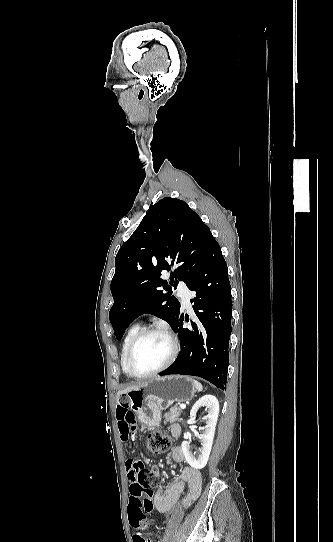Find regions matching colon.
I'll return each mask as SVG.
<instances>
[{"instance_id": "5ec220e1", "label": "colon", "mask_w": 333, "mask_h": 542, "mask_svg": "<svg viewBox=\"0 0 333 542\" xmlns=\"http://www.w3.org/2000/svg\"><path fill=\"white\" fill-rule=\"evenodd\" d=\"M171 445L172 437L170 435L156 431L148 436L146 448L149 453L158 455L170 449ZM125 464L128 468L127 479L136 481V483L127 484V493L131 494L132 500L138 503V505L128 507V517L133 525H147L150 522L149 516L153 513L150 489L160 485V477L154 471L145 469L144 463L135 458H128ZM144 496L145 499L142 502ZM139 540L146 541L143 537H140Z\"/></svg>"}]
</instances>
